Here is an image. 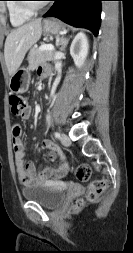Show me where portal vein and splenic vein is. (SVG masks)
<instances>
[{"instance_id":"obj_1","label":"portal vein and splenic vein","mask_w":133,"mask_h":253,"mask_svg":"<svg viewBox=\"0 0 133 253\" xmlns=\"http://www.w3.org/2000/svg\"><path fill=\"white\" fill-rule=\"evenodd\" d=\"M39 49H40V51H44V50H47V51H54V50H55L54 46L51 45V44H44V45H41Z\"/></svg>"}]
</instances>
